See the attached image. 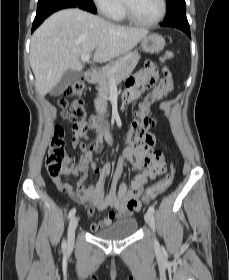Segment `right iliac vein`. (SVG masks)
I'll return each instance as SVG.
<instances>
[{
  "mask_svg": "<svg viewBox=\"0 0 229 280\" xmlns=\"http://www.w3.org/2000/svg\"><path fill=\"white\" fill-rule=\"evenodd\" d=\"M78 221H79L78 217L73 216L69 222V226H68V244L69 245H72L74 243L75 230L77 228Z\"/></svg>",
  "mask_w": 229,
  "mask_h": 280,
  "instance_id": "right-iliac-vein-1",
  "label": "right iliac vein"
}]
</instances>
